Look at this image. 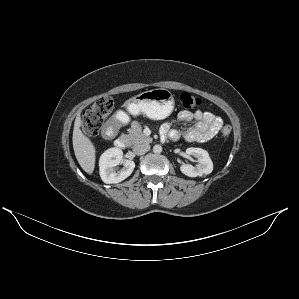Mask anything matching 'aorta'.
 <instances>
[{
  "label": "aorta",
  "instance_id": "obj_1",
  "mask_svg": "<svg viewBox=\"0 0 299 299\" xmlns=\"http://www.w3.org/2000/svg\"><path fill=\"white\" fill-rule=\"evenodd\" d=\"M153 152L156 153V154H159L162 152V146L159 145V144H156L153 146Z\"/></svg>",
  "mask_w": 299,
  "mask_h": 299
}]
</instances>
